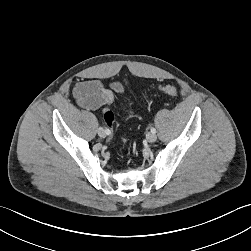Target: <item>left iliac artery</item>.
Segmentation results:
<instances>
[{
  "label": "left iliac artery",
  "mask_w": 251,
  "mask_h": 251,
  "mask_svg": "<svg viewBox=\"0 0 251 251\" xmlns=\"http://www.w3.org/2000/svg\"><path fill=\"white\" fill-rule=\"evenodd\" d=\"M151 132L156 133V129L154 127H151Z\"/></svg>",
  "instance_id": "obj_1"
}]
</instances>
